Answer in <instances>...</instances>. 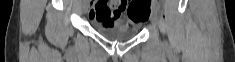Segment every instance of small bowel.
Segmentation results:
<instances>
[{
    "label": "small bowel",
    "mask_w": 235,
    "mask_h": 62,
    "mask_svg": "<svg viewBox=\"0 0 235 62\" xmlns=\"http://www.w3.org/2000/svg\"><path fill=\"white\" fill-rule=\"evenodd\" d=\"M121 15L122 8L121 3L118 0H112L110 5L105 9L95 6L89 13V17L93 22L104 27H115L118 25L134 26L136 24L130 22L127 18H125V21L122 23Z\"/></svg>",
    "instance_id": "1"
}]
</instances>
